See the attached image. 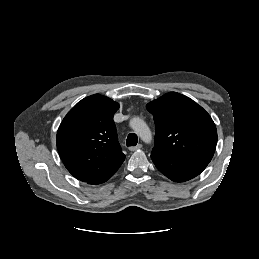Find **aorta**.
Masks as SVG:
<instances>
[{
	"label": "aorta",
	"instance_id": "aorta-1",
	"mask_svg": "<svg viewBox=\"0 0 259 259\" xmlns=\"http://www.w3.org/2000/svg\"><path fill=\"white\" fill-rule=\"evenodd\" d=\"M130 126L144 142L151 141V131L142 119L138 117L131 119Z\"/></svg>",
	"mask_w": 259,
	"mask_h": 259
}]
</instances>
